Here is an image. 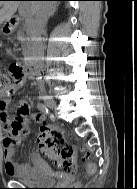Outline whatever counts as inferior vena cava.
<instances>
[{"instance_id":"inferior-vena-cava-1","label":"inferior vena cava","mask_w":137,"mask_h":189,"mask_svg":"<svg viewBox=\"0 0 137 189\" xmlns=\"http://www.w3.org/2000/svg\"><path fill=\"white\" fill-rule=\"evenodd\" d=\"M43 3H45V5L36 12L35 18L30 27L32 55L35 65H42L44 47L40 37L44 32L48 18L52 14L55 5V2L53 1H44ZM36 71L41 73L43 70L41 69V66H38ZM36 77L38 79V83H43L44 78L41 74H38Z\"/></svg>"}]
</instances>
